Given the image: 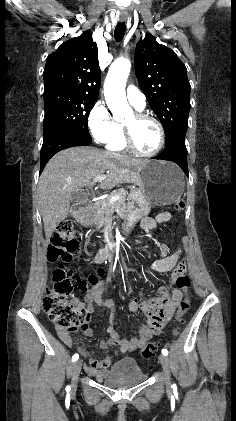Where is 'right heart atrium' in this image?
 <instances>
[{"label": "right heart atrium", "mask_w": 236, "mask_h": 421, "mask_svg": "<svg viewBox=\"0 0 236 421\" xmlns=\"http://www.w3.org/2000/svg\"><path fill=\"white\" fill-rule=\"evenodd\" d=\"M88 128L97 144H106L117 128V121L101 100L97 101L88 117Z\"/></svg>", "instance_id": "right-heart-atrium-1"}]
</instances>
